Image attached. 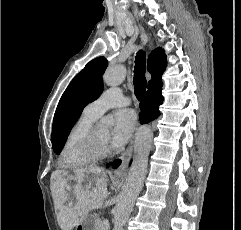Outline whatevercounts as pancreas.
I'll return each mask as SVG.
<instances>
[{"instance_id": "obj_1", "label": "pancreas", "mask_w": 241, "mask_h": 230, "mask_svg": "<svg viewBox=\"0 0 241 230\" xmlns=\"http://www.w3.org/2000/svg\"><path fill=\"white\" fill-rule=\"evenodd\" d=\"M95 230H106L105 226L103 225V223L99 222L96 223V228Z\"/></svg>"}]
</instances>
